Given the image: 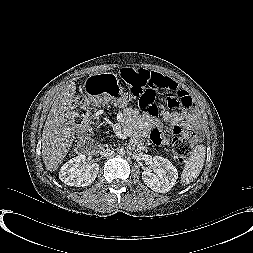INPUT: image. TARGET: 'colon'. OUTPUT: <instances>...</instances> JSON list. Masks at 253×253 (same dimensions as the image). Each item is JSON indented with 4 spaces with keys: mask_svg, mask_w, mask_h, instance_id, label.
<instances>
[{
    "mask_svg": "<svg viewBox=\"0 0 253 253\" xmlns=\"http://www.w3.org/2000/svg\"><path fill=\"white\" fill-rule=\"evenodd\" d=\"M121 77L125 81L130 94L139 99L141 109L150 116L158 114L157 94L164 91L168 95L171 106H188L191 98L180 89L172 87L161 76L141 68H125L121 71ZM75 121L79 126H84L89 121V110L86 100H78L75 108ZM195 133L187 130L175 138L172 143V155L174 160L183 164L190 154Z\"/></svg>",
    "mask_w": 253,
    "mask_h": 253,
    "instance_id": "obj_1",
    "label": "colon"
}]
</instances>
